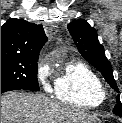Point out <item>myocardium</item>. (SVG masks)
Here are the masks:
<instances>
[{
    "instance_id": "myocardium-1",
    "label": "myocardium",
    "mask_w": 122,
    "mask_h": 123,
    "mask_svg": "<svg viewBox=\"0 0 122 123\" xmlns=\"http://www.w3.org/2000/svg\"><path fill=\"white\" fill-rule=\"evenodd\" d=\"M105 96H106V90L104 88H102V97H103V99L105 98Z\"/></svg>"
}]
</instances>
